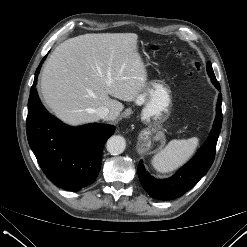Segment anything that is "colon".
I'll list each match as a JSON object with an SVG mask.
<instances>
[{"instance_id":"colon-1","label":"colon","mask_w":247,"mask_h":247,"mask_svg":"<svg viewBox=\"0 0 247 247\" xmlns=\"http://www.w3.org/2000/svg\"><path fill=\"white\" fill-rule=\"evenodd\" d=\"M179 56L185 57L195 72H199L201 69V64L198 60L193 57V53L185 47H181L177 50Z\"/></svg>"}]
</instances>
